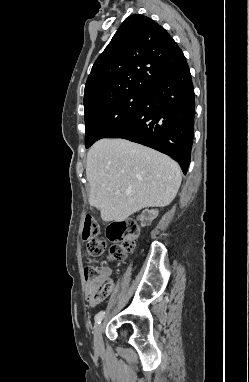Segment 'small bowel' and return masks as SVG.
I'll use <instances>...</instances> for the list:
<instances>
[{"label":"small bowel","mask_w":249,"mask_h":382,"mask_svg":"<svg viewBox=\"0 0 249 382\" xmlns=\"http://www.w3.org/2000/svg\"><path fill=\"white\" fill-rule=\"evenodd\" d=\"M103 275H104V277H108V276L110 275V270H109L108 268H105V269L103 270ZM91 293H92V289H91L90 285L88 284V285L86 286L87 301H88V303H89L91 306H95V305L99 304L100 301H99V302H98V301H93V300L90 298Z\"/></svg>","instance_id":"small-bowel-1"}]
</instances>
